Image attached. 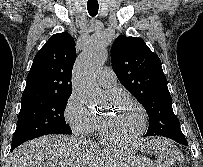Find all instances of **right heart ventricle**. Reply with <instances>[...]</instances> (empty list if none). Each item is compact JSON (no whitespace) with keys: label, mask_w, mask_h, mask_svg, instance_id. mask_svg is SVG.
Returning <instances> with one entry per match:
<instances>
[{"label":"right heart ventricle","mask_w":203,"mask_h":167,"mask_svg":"<svg viewBox=\"0 0 203 167\" xmlns=\"http://www.w3.org/2000/svg\"><path fill=\"white\" fill-rule=\"evenodd\" d=\"M99 129V123H98V121H97V123H96V129Z\"/></svg>","instance_id":"e07e8e85"}]
</instances>
